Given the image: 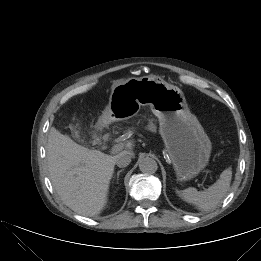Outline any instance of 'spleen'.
Segmentation results:
<instances>
[{"mask_svg": "<svg viewBox=\"0 0 261 261\" xmlns=\"http://www.w3.org/2000/svg\"><path fill=\"white\" fill-rule=\"evenodd\" d=\"M232 171L225 169L215 184L204 191L193 187L183 190L179 196L187 203L195 205L199 210L210 211L217 207L230 188Z\"/></svg>", "mask_w": 261, "mask_h": 261, "instance_id": "obj_1", "label": "spleen"}]
</instances>
